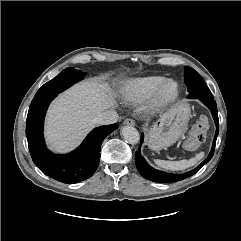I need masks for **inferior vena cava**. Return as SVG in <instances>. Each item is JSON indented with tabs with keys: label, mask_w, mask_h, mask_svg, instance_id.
<instances>
[{
	"label": "inferior vena cava",
	"mask_w": 241,
	"mask_h": 241,
	"mask_svg": "<svg viewBox=\"0 0 241 241\" xmlns=\"http://www.w3.org/2000/svg\"><path fill=\"white\" fill-rule=\"evenodd\" d=\"M117 120L118 114L113 110H109L100 113L97 117H95L93 123L101 126L116 123Z\"/></svg>",
	"instance_id": "1"
}]
</instances>
